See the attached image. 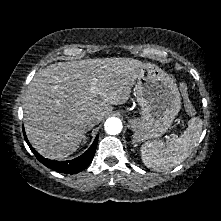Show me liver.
<instances>
[{
	"instance_id": "1",
	"label": "liver",
	"mask_w": 221,
	"mask_h": 221,
	"mask_svg": "<svg viewBox=\"0 0 221 221\" xmlns=\"http://www.w3.org/2000/svg\"><path fill=\"white\" fill-rule=\"evenodd\" d=\"M143 67L137 59L113 57L58 62L39 70L23 105L32 146L53 160L74 153L84 137V118L95 115L100 122L113 105L125 103ZM93 79L98 96L91 95Z\"/></svg>"
}]
</instances>
